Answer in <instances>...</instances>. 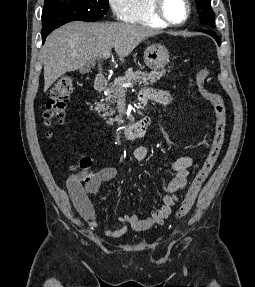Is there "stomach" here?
Listing matches in <instances>:
<instances>
[{"label":"stomach","mask_w":255,"mask_h":287,"mask_svg":"<svg viewBox=\"0 0 255 287\" xmlns=\"http://www.w3.org/2000/svg\"><path fill=\"white\" fill-rule=\"evenodd\" d=\"M144 62L150 70H162L169 64V52L162 44H150L144 52Z\"/></svg>","instance_id":"obj_1"}]
</instances>
